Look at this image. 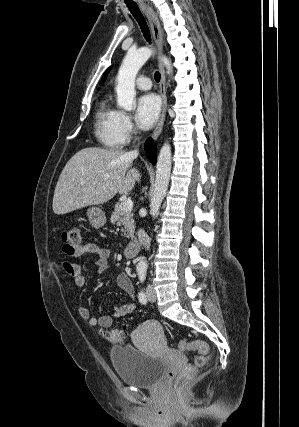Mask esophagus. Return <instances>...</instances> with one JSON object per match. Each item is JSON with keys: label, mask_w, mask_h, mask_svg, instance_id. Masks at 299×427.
<instances>
[{"label": "esophagus", "mask_w": 299, "mask_h": 427, "mask_svg": "<svg viewBox=\"0 0 299 427\" xmlns=\"http://www.w3.org/2000/svg\"><path fill=\"white\" fill-rule=\"evenodd\" d=\"M141 9L145 13V15H146V17L150 23L156 46H157L159 52H162L163 35H162V29H161L158 17L153 12V10L145 4H141ZM159 68H160V72H161L160 95L162 98V109H161L159 121H158V123H157V125H156V127L152 133L153 139H157L159 137L162 129H163L165 114H166V106H167L165 70H164V66H163L161 60H159Z\"/></svg>", "instance_id": "obj_1"}]
</instances>
